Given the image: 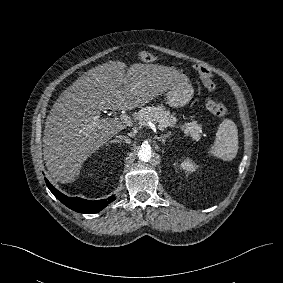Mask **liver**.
<instances>
[{
  "instance_id": "obj_1",
  "label": "liver",
  "mask_w": 283,
  "mask_h": 283,
  "mask_svg": "<svg viewBox=\"0 0 283 283\" xmlns=\"http://www.w3.org/2000/svg\"><path fill=\"white\" fill-rule=\"evenodd\" d=\"M110 61L85 72L62 92L45 122L43 158L51 177L71 183L84 161L126 128L104 109L133 110L168 91L184 77L174 68Z\"/></svg>"
}]
</instances>
